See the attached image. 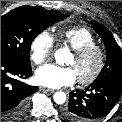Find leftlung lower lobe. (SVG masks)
Listing matches in <instances>:
<instances>
[{
  "instance_id": "left-lung-lower-lobe-1",
  "label": "left lung lower lobe",
  "mask_w": 122,
  "mask_h": 122,
  "mask_svg": "<svg viewBox=\"0 0 122 122\" xmlns=\"http://www.w3.org/2000/svg\"><path fill=\"white\" fill-rule=\"evenodd\" d=\"M122 94V80L92 83L85 91L71 92L63 115L73 122H89L107 115Z\"/></svg>"
}]
</instances>
